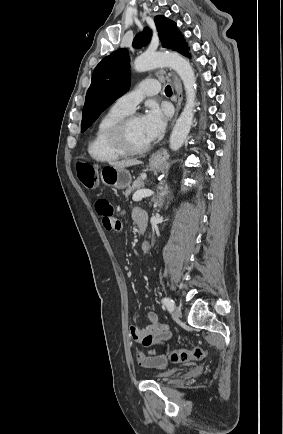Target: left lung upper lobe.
I'll list each match as a JSON object with an SVG mask.
<instances>
[{
	"label": "left lung upper lobe",
	"instance_id": "left-lung-upper-lobe-1",
	"mask_svg": "<svg viewBox=\"0 0 283 434\" xmlns=\"http://www.w3.org/2000/svg\"><path fill=\"white\" fill-rule=\"evenodd\" d=\"M162 47L178 51L189 57L188 45L176 24L163 15L154 18ZM151 39V31L145 28L136 35L133 46L141 48ZM130 58L127 49H119L105 57L94 69L82 113L81 131H85L117 98L130 87Z\"/></svg>",
	"mask_w": 283,
	"mask_h": 434
}]
</instances>
